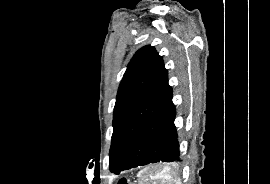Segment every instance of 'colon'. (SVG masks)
<instances>
[{
	"label": "colon",
	"instance_id": "obj_1",
	"mask_svg": "<svg viewBox=\"0 0 270 184\" xmlns=\"http://www.w3.org/2000/svg\"><path fill=\"white\" fill-rule=\"evenodd\" d=\"M118 184H130V182L127 179L123 178L119 181Z\"/></svg>",
	"mask_w": 270,
	"mask_h": 184
}]
</instances>
